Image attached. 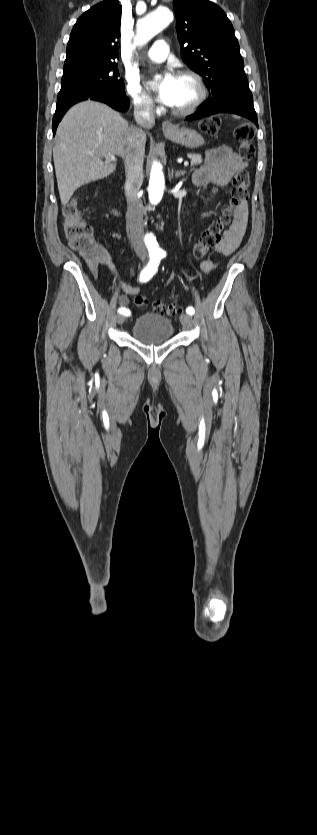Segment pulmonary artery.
<instances>
[{"label":"pulmonary artery","instance_id":"1","mask_svg":"<svg viewBox=\"0 0 317 835\" xmlns=\"http://www.w3.org/2000/svg\"><path fill=\"white\" fill-rule=\"evenodd\" d=\"M169 47L166 41L160 39L155 41L147 52V57L155 62L164 61L168 55Z\"/></svg>","mask_w":317,"mask_h":835}]
</instances>
